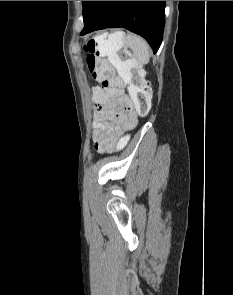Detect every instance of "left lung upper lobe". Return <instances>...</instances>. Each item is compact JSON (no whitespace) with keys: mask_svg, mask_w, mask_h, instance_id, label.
I'll return each mask as SVG.
<instances>
[{"mask_svg":"<svg viewBox=\"0 0 233 295\" xmlns=\"http://www.w3.org/2000/svg\"><path fill=\"white\" fill-rule=\"evenodd\" d=\"M96 1H82L83 3V20L86 21L91 13L92 7Z\"/></svg>","mask_w":233,"mask_h":295,"instance_id":"1","label":"left lung upper lobe"}]
</instances>
